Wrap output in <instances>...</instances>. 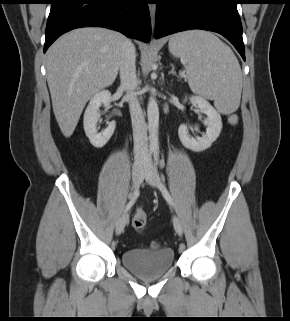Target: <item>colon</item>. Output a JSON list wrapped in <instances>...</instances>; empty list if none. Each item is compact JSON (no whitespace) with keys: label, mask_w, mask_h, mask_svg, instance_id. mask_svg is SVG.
<instances>
[{"label":"colon","mask_w":290,"mask_h":321,"mask_svg":"<svg viewBox=\"0 0 290 321\" xmlns=\"http://www.w3.org/2000/svg\"><path fill=\"white\" fill-rule=\"evenodd\" d=\"M131 224L135 231L137 232L144 231L147 225L146 213L141 209L136 210L132 216ZM154 246L156 245L154 244Z\"/></svg>","instance_id":"colon-1"}]
</instances>
